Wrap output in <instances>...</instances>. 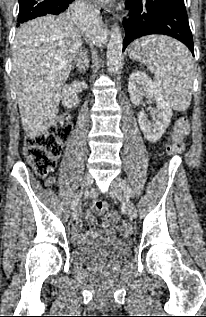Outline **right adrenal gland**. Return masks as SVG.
Segmentation results:
<instances>
[{
	"label": "right adrenal gland",
	"instance_id": "obj_1",
	"mask_svg": "<svg viewBox=\"0 0 206 317\" xmlns=\"http://www.w3.org/2000/svg\"><path fill=\"white\" fill-rule=\"evenodd\" d=\"M88 51L84 49L81 44L80 50L78 52L77 64L76 67L78 71H86L89 67V59L87 55Z\"/></svg>",
	"mask_w": 206,
	"mask_h": 317
}]
</instances>
